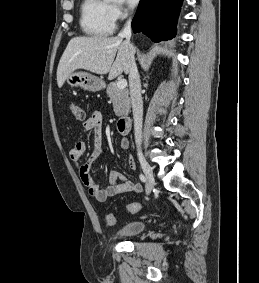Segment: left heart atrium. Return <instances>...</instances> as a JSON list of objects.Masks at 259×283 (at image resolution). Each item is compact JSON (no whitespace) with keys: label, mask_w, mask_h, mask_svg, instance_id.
<instances>
[{"label":"left heart atrium","mask_w":259,"mask_h":283,"mask_svg":"<svg viewBox=\"0 0 259 283\" xmlns=\"http://www.w3.org/2000/svg\"><path fill=\"white\" fill-rule=\"evenodd\" d=\"M128 4L131 5V6H135L139 0H127Z\"/></svg>","instance_id":"39dd6f15"}]
</instances>
